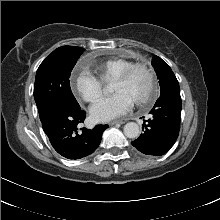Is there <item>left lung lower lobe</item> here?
Listing matches in <instances>:
<instances>
[{
	"instance_id": "1",
	"label": "left lung lower lobe",
	"mask_w": 220,
	"mask_h": 220,
	"mask_svg": "<svg viewBox=\"0 0 220 220\" xmlns=\"http://www.w3.org/2000/svg\"><path fill=\"white\" fill-rule=\"evenodd\" d=\"M181 107L180 92L160 95L149 112L150 118L143 123L144 133L132 145L144 154H165L179 135Z\"/></svg>"
}]
</instances>
